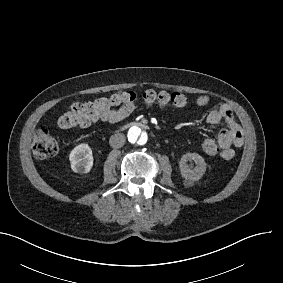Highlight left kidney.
<instances>
[{
    "label": "left kidney",
    "instance_id": "1",
    "mask_svg": "<svg viewBox=\"0 0 283 283\" xmlns=\"http://www.w3.org/2000/svg\"><path fill=\"white\" fill-rule=\"evenodd\" d=\"M192 162H195V167ZM179 166L183 177L190 181L199 180L206 171V163L198 154L183 155L179 160Z\"/></svg>",
    "mask_w": 283,
    "mask_h": 283
}]
</instances>
